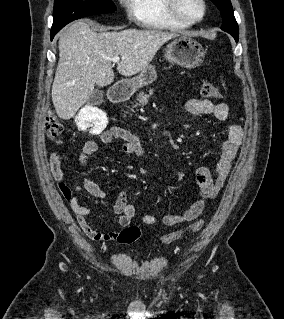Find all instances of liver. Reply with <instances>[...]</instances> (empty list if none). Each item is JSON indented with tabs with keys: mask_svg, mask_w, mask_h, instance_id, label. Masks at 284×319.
Here are the masks:
<instances>
[{
	"mask_svg": "<svg viewBox=\"0 0 284 319\" xmlns=\"http://www.w3.org/2000/svg\"><path fill=\"white\" fill-rule=\"evenodd\" d=\"M59 62L52 85V101L61 119H70L94 92L114 80L113 57H120L117 71L133 76L149 66L158 49L176 33L126 29L97 33L84 21L63 28L59 34Z\"/></svg>",
	"mask_w": 284,
	"mask_h": 319,
	"instance_id": "liver-1",
	"label": "liver"
}]
</instances>
